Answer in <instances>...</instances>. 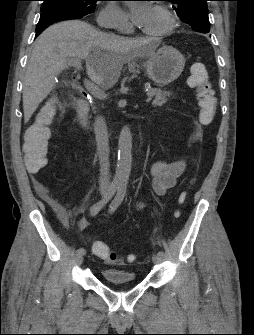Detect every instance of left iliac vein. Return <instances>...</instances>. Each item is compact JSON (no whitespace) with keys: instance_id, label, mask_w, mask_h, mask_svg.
<instances>
[{"instance_id":"4c4485c4","label":"left iliac vein","mask_w":254,"mask_h":335,"mask_svg":"<svg viewBox=\"0 0 254 335\" xmlns=\"http://www.w3.org/2000/svg\"><path fill=\"white\" fill-rule=\"evenodd\" d=\"M152 261H153L154 264H159V263H161L162 258L159 257L157 254H154V255L152 256Z\"/></svg>"}]
</instances>
